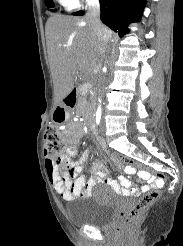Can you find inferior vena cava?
I'll return each instance as SVG.
<instances>
[{
	"label": "inferior vena cava",
	"instance_id": "inferior-vena-cava-1",
	"mask_svg": "<svg viewBox=\"0 0 183 246\" xmlns=\"http://www.w3.org/2000/svg\"><path fill=\"white\" fill-rule=\"evenodd\" d=\"M86 18L92 28L94 35L107 47L110 35L107 28L100 20V4L99 0H87ZM102 67V62L98 64V69Z\"/></svg>",
	"mask_w": 183,
	"mask_h": 246
}]
</instances>
